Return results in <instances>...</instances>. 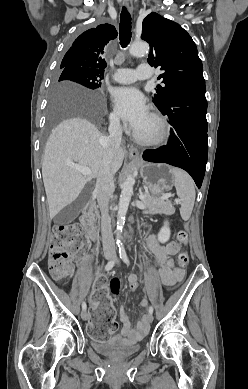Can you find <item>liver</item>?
<instances>
[{"mask_svg":"<svg viewBox=\"0 0 248 389\" xmlns=\"http://www.w3.org/2000/svg\"><path fill=\"white\" fill-rule=\"evenodd\" d=\"M94 99L91 91L73 85L61 86L57 93V102L63 105L78 101L94 105ZM104 139L105 136L97 127L83 117L67 119L52 130L42 161L50 218L75 201L85 184L99 174L104 158ZM124 156L125 150L122 148L114 155L111 161L113 174L122 166ZM68 163L90 168L93 176L83 175Z\"/></svg>","mask_w":248,"mask_h":389,"instance_id":"obj_1","label":"liver"}]
</instances>
